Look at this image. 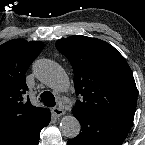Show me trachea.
Returning <instances> with one entry per match:
<instances>
[{
  "label": "trachea",
  "instance_id": "trachea-1",
  "mask_svg": "<svg viewBox=\"0 0 145 145\" xmlns=\"http://www.w3.org/2000/svg\"><path fill=\"white\" fill-rule=\"evenodd\" d=\"M41 102L44 103L45 106L54 107L56 105L54 95L49 92L45 91L40 95Z\"/></svg>",
  "mask_w": 145,
  "mask_h": 145
}]
</instances>
